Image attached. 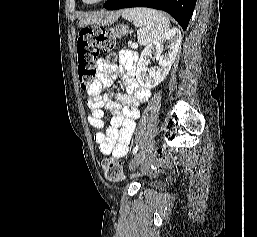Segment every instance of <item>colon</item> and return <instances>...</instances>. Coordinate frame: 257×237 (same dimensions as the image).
Instances as JSON below:
<instances>
[{
    "label": "colon",
    "mask_w": 257,
    "mask_h": 237,
    "mask_svg": "<svg viewBox=\"0 0 257 237\" xmlns=\"http://www.w3.org/2000/svg\"><path fill=\"white\" fill-rule=\"evenodd\" d=\"M116 46L115 35L100 27L90 26L81 30L77 38L78 75L81 87H89L96 74V58L100 52H109ZM168 165L164 152H158L151 164L154 171H161ZM102 168L105 178L117 182L124 178L120 161L114 158L104 159Z\"/></svg>",
    "instance_id": "colon-1"
}]
</instances>
